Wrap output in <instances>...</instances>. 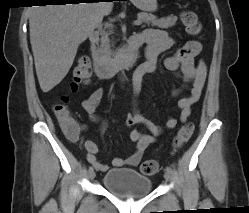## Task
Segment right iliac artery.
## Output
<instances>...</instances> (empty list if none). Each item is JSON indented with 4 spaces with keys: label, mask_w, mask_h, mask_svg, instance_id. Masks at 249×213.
I'll list each match as a JSON object with an SVG mask.
<instances>
[{
    "label": "right iliac artery",
    "mask_w": 249,
    "mask_h": 213,
    "mask_svg": "<svg viewBox=\"0 0 249 213\" xmlns=\"http://www.w3.org/2000/svg\"><path fill=\"white\" fill-rule=\"evenodd\" d=\"M91 171H93V167L92 166L89 167V172H91Z\"/></svg>",
    "instance_id": "1"
}]
</instances>
